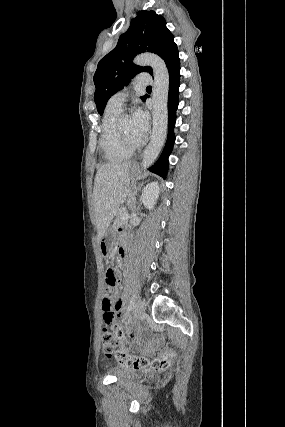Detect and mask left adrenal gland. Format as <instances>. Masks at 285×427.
I'll return each mask as SVG.
<instances>
[{
	"instance_id": "1",
	"label": "left adrenal gland",
	"mask_w": 285,
	"mask_h": 427,
	"mask_svg": "<svg viewBox=\"0 0 285 427\" xmlns=\"http://www.w3.org/2000/svg\"><path fill=\"white\" fill-rule=\"evenodd\" d=\"M141 189V186H139L134 192H133V194L130 196V199H129V203H130V206H131V208H132V211H135L136 209H137V202H136V197H135V195L137 194V192L139 191ZM138 208H139V205H138Z\"/></svg>"
}]
</instances>
